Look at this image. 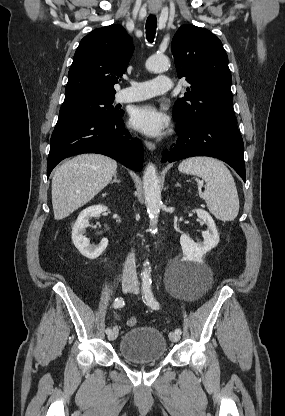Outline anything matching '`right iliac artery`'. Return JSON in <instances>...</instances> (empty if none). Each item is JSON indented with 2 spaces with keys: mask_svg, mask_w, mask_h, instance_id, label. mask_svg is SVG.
<instances>
[{
  "mask_svg": "<svg viewBox=\"0 0 285 416\" xmlns=\"http://www.w3.org/2000/svg\"><path fill=\"white\" fill-rule=\"evenodd\" d=\"M124 306V300L122 298H116L114 303H113V307L114 308H120ZM111 329L108 327L106 329V334H110Z\"/></svg>",
  "mask_w": 285,
  "mask_h": 416,
  "instance_id": "1",
  "label": "right iliac artery"
}]
</instances>
